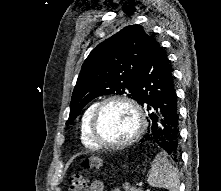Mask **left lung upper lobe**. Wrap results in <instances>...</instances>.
<instances>
[{"instance_id": "5c2ea615", "label": "left lung upper lobe", "mask_w": 221, "mask_h": 191, "mask_svg": "<svg viewBox=\"0 0 221 191\" xmlns=\"http://www.w3.org/2000/svg\"><path fill=\"white\" fill-rule=\"evenodd\" d=\"M152 39L140 25H131L96 46L82 65L66 125L96 97L125 94L137 101L138 77Z\"/></svg>"}]
</instances>
